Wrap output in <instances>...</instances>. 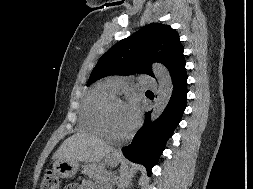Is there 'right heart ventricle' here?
Wrapping results in <instances>:
<instances>
[{"mask_svg":"<svg viewBox=\"0 0 253 189\" xmlns=\"http://www.w3.org/2000/svg\"><path fill=\"white\" fill-rule=\"evenodd\" d=\"M114 95L115 92L107 82L99 83L92 88L81 107L80 119L83 127L93 133L104 134L100 118L101 108L106 100Z\"/></svg>","mask_w":253,"mask_h":189,"instance_id":"e07e8e85","label":"right heart ventricle"}]
</instances>
